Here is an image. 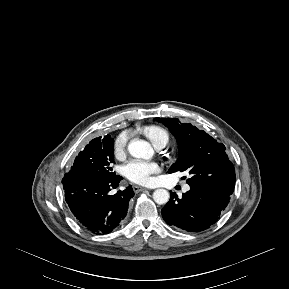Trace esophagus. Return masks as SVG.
Wrapping results in <instances>:
<instances>
[{
    "instance_id": "1",
    "label": "esophagus",
    "mask_w": 289,
    "mask_h": 289,
    "mask_svg": "<svg viewBox=\"0 0 289 289\" xmlns=\"http://www.w3.org/2000/svg\"><path fill=\"white\" fill-rule=\"evenodd\" d=\"M133 190H134L135 192H140V191H145V190H149V189H147V188H145V187L138 186V185H134V186H133Z\"/></svg>"
}]
</instances>
